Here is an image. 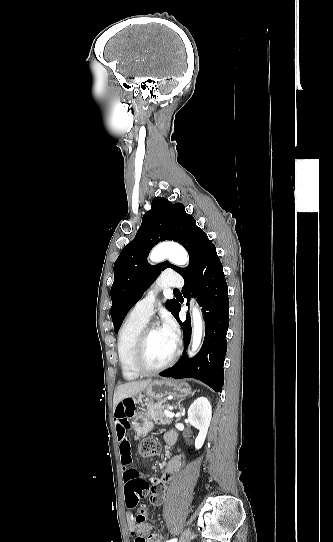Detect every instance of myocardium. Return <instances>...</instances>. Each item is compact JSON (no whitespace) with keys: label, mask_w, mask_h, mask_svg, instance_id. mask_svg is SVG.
<instances>
[{"label":"myocardium","mask_w":333,"mask_h":542,"mask_svg":"<svg viewBox=\"0 0 333 542\" xmlns=\"http://www.w3.org/2000/svg\"><path fill=\"white\" fill-rule=\"evenodd\" d=\"M155 327L157 326L144 327L139 333L133 347L132 365L133 368L142 375H152L165 370L176 362L181 352V342L178 340L173 354L167 361L158 366H148L145 362L147 339L150 330Z\"/></svg>","instance_id":"1"}]
</instances>
